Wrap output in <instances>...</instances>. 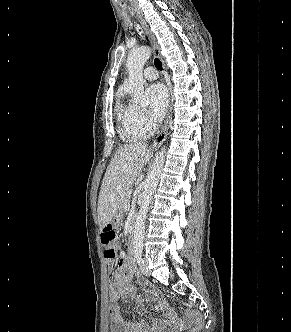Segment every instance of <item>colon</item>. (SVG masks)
<instances>
[{
	"label": "colon",
	"instance_id": "1",
	"mask_svg": "<svg viewBox=\"0 0 291 332\" xmlns=\"http://www.w3.org/2000/svg\"><path fill=\"white\" fill-rule=\"evenodd\" d=\"M101 242L105 258L114 259L116 257L118 241L113 227L107 226L101 233ZM188 330L187 332H200L202 329V319L197 311H188Z\"/></svg>",
	"mask_w": 291,
	"mask_h": 332
}]
</instances>
